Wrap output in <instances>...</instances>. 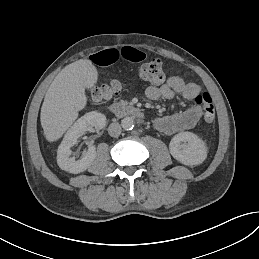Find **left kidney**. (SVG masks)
<instances>
[{"instance_id": "5707ae66", "label": "left kidney", "mask_w": 259, "mask_h": 259, "mask_svg": "<svg viewBox=\"0 0 259 259\" xmlns=\"http://www.w3.org/2000/svg\"><path fill=\"white\" fill-rule=\"evenodd\" d=\"M171 155L187 166L201 164L207 157L205 142L192 132L176 134L170 141Z\"/></svg>"}]
</instances>
